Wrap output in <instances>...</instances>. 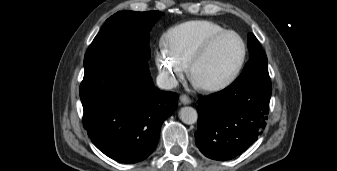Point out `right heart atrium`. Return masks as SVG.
<instances>
[{"mask_svg": "<svg viewBox=\"0 0 337 171\" xmlns=\"http://www.w3.org/2000/svg\"><path fill=\"white\" fill-rule=\"evenodd\" d=\"M156 62L160 73L171 85H175L186 73V66L175 59L164 44L158 47Z\"/></svg>", "mask_w": 337, "mask_h": 171, "instance_id": "d8ad5b80", "label": "right heart atrium"}]
</instances>
